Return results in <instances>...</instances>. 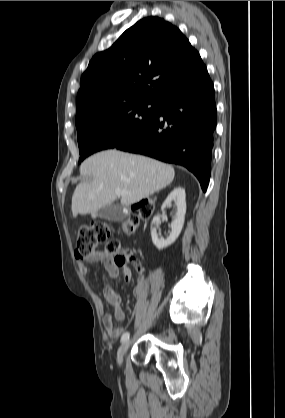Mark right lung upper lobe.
Wrapping results in <instances>:
<instances>
[{
  "instance_id": "cb5924a9",
  "label": "right lung upper lobe",
  "mask_w": 285,
  "mask_h": 418,
  "mask_svg": "<svg viewBox=\"0 0 285 418\" xmlns=\"http://www.w3.org/2000/svg\"><path fill=\"white\" fill-rule=\"evenodd\" d=\"M206 72L176 26L156 16L144 18L90 61L77 94L76 124L116 105L159 104Z\"/></svg>"
}]
</instances>
